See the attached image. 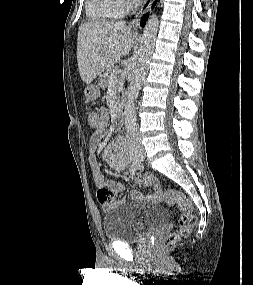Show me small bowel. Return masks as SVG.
Listing matches in <instances>:
<instances>
[{
    "label": "small bowel",
    "mask_w": 253,
    "mask_h": 285,
    "mask_svg": "<svg viewBox=\"0 0 253 285\" xmlns=\"http://www.w3.org/2000/svg\"><path fill=\"white\" fill-rule=\"evenodd\" d=\"M102 124L99 127H95V132L91 136L89 148H88V156L89 161L93 167V178L95 184L100 188H110L115 193L123 192L125 190L124 185L119 182L113 180H105L98 161V153L103 148L104 140L107 136L108 129L106 126L107 123V114L105 111H102L99 114ZM124 173L135 183L149 188V193L143 195L137 190H133L130 192V196L137 201H144L149 203H160L162 200V190L158 180L150 176L148 174H141L139 176L130 175L129 171H124ZM109 203H103V209L107 210L109 208Z\"/></svg>",
    "instance_id": "c3829d8e"
}]
</instances>
